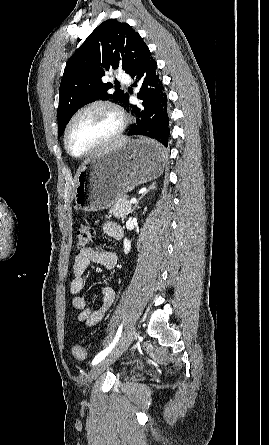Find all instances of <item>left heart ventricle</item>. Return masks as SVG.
<instances>
[{
  "label": "left heart ventricle",
  "mask_w": 269,
  "mask_h": 445,
  "mask_svg": "<svg viewBox=\"0 0 269 445\" xmlns=\"http://www.w3.org/2000/svg\"><path fill=\"white\" fill-rule=\"evenodd\" d=\"M117 127L116 117L106 109L95 108L81 114L73 123L68 145L79 155L110 136Z\"/></svg>",
  "instance_id": "b2bd125f"
}]
</instances>
